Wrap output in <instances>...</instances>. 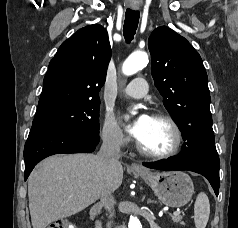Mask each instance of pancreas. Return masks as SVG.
I'll return each instance as SVG.
<instances>
[{
  "mask_svg": "<svg viewBox=\"0 0 238 228\" xmlns=\"http://www.w3.org/2000/svg\"><path fill=\"white\" fill-rule=\"evenodd\" d=\"M171 218L175 223L184 224L181 215H171Z\"/></svg>",
  "mask_w": 238,
  "mask_h": 228,
  "instance_id": "pancreas-1",
  "label": "pancreas"
}]
</instances>
